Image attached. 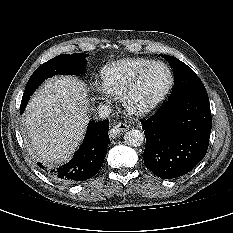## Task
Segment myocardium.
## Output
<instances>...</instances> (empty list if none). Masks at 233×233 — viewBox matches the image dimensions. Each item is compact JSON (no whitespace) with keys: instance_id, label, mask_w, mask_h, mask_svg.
Segmentation results:
<instances>
[{"instance_id":"f54148a6","label":"myocardium","mask_w":233,"mask_h":233,"mask_svg":"<svg viewBox=\"0 0 233 233\" xmlns=\"http://www.w3.org/2000/svg\"><path fill=\"white\" fill-rule=\"evenodd\" d=\"M154 66H162L164 67L169 75V81L165 89L161 92V94L150 104L143 106V107H134L131 104V96L140 84L142 78L144 75ZM174 84V75L171 70V68L164 62L161 61H153L150 64L144 66L142 69H140L137 74L132 78V80L128 83L126 88L124 89L122 95H121V101L124 109L126 112L130 115L136 116V117H143L146 115L151 114L154 112L166 99L168 94L170 93L172 87Z\"/></svg>"}]
</instances>
